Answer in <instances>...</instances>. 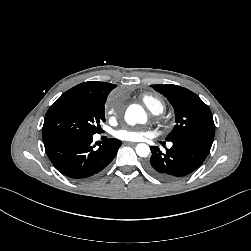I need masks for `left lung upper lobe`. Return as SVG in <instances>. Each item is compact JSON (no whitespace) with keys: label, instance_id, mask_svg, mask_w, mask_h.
I'll list each match as a JSON object with an SVG mask.
<instances>
[{"label":"left lung upper lobe","instance_id":"obj_1","mask_svg":"<svg viewBox=\"0 0 251 251\" xmlns=\"http://www.w3.org/2000/svg\"><path fill=\"white\" fill-rule=\"evenodd\" d=\"M164 95L175 110L176 125L167 141L181 138H202L213 141L215 125L209 107L190 90L172 84L151 85Z\"/></svg>","mask_w":251,"mask_h":251}]
</instances>
